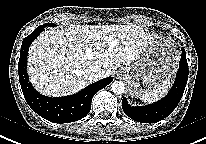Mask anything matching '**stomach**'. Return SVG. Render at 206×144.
<instances>
[{
    "mask_svg": "<svg viewBox=\"0 0 206 144\" xmlns=\"http://www.w3.org/2000/svg\"><path fill=\"white\" fill-rule=\"evenodd\" d=\"M177 62L178 51L170 41H150L138 59L121 68L131 97L140 98L168 82Z\"/></svg>",
    "mask_w": 206,
    "mask_h": 144,
    "instance_id": "0dacf381",
    "label": "stomach"
}]
</instances>
